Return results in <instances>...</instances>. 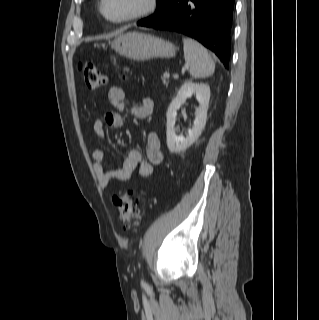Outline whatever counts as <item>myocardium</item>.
Wrapping results in <instances>:
<instances>
[{"label":"myocardium","mask_w":319,"mask_h":320,"mask_svg":"<svg viewBox=\"0 0 319 320\" xmlns=\"http://www.w3.org/2000/svg\"><path fill=\"white\" fill-rule=\"evenodd\" d=\"M105 4H106V0H100L99 2V10L101 12V14L103 15V17L113 23V24H124V23H128V22H132V21H136L139 19H143L146 18L152 14H154L159 6V0H148L147 1V5L145 8L130 14L126 17H123L121 19H113L111 18L105 10Z\"/></svg>","instance_id":"1"}]
</instances>
